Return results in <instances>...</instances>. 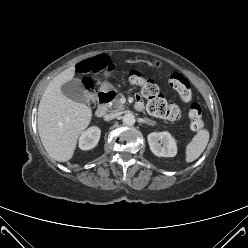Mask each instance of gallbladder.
I'll return each instance as SVG.
<instances>
[{"label":"gallbladder","mask_w":248,"mask_h":248,"mask_svg":"<svg viewBox=\"0 0 248 248\" xmlns=\"http://www.w3.org/2000/svg\"><path fill=\"white\" fill-rule=\"evenodd\" d=\"M61 92L64 96L73 101L89 104V98L85 92V89L81 81L77 78L63 84L61 86Z\"/></svg>","instance_id":"gallbladder-1"}]
</instances>
